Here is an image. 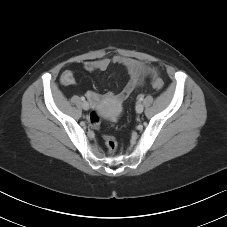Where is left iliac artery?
Returning a JSON list of instances; mask_svg holds the SVG:
<instances>
[{"instance_id":"44dca946","label":"left iliac artery","mask_w":227,"mask_h":227,"mask_svg":"<svg viewBox=\"0 0 227 227\" xmlns=\"http://www.w3.org/2000/svg\"><path fill=\"white\" fill-rule=\"evenodd\" d=\"M143 100V96L142 95H140V97H139V101H142Z\"/></svg>"}]
</instances>
